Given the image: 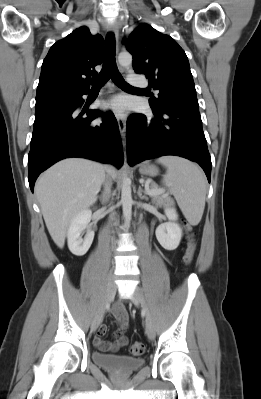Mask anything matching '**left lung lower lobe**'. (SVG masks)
Listing matches in <instances>:
<instances>
[{"instance_id":"left-lung-lower-lobe-1","label":"left lung lower lobe","mask_w":261,"mask_h":399,"mask_svg":"<svg viewBox=\"0 0 261 399\" xmlns=\"http://www.w3.org/2000/svg\"><path fill=\"white\" fill-rule=\"evenodd\" d=\"M154 118L133 114L127 121V155L132 166L165 155H176L197 162L211 176V158L202 129L199 106L175 104L153 110Z\"/></svg>"}]
</instances>
